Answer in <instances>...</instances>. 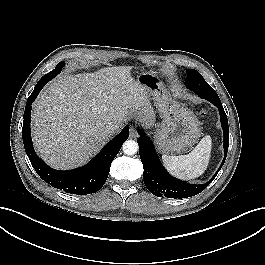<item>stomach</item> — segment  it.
Returning <instances> with one entry per match:
<instances>
[{
    "instance_id": "0dacf381",
    "label": "stomach",
    "mask_w": 265,
    "mask_h": 265,
    "mask_svg": "<svg viewBox=\"0 0 265 265\" xmlns=\"http://www.w3.org/2000/svg\"><path fill=\"white\" fill-rule=\"evenodd\" d=\"M136 81L160 112L154 138L162 153H180L192 147L200 137V122L188 108L171 97L154 72H142Z\"/></svg>"
}]
</instances>
